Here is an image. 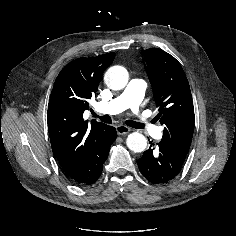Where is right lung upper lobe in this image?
<instances>
[{
	"label": "right lung upper lobe",
	"mask_w": 236,
	"mask_h": 236,
	"mask_svg": "<svg viewBox=\"0 0 236 236\" xmlns=\"http://www.w3.org/2000/svg\"><path fill=\"white\" fill-rule=\"evenodd\" d=\"M114 53L79 58L59 73L50 95L47 122L52 150L67 175L75 172L85 159L96 136L106 126L83 121L88 99L97 91L104 70Z\"/></svg>",
	"instance_id": "cb5924a9"
}]
</instances>
